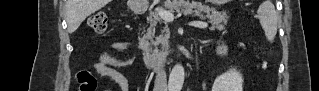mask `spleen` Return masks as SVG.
I'll use <instances>...</instances> for the list:
<instances>
[{
    "mask_svg": "<svg viewBox=\"0 0 319 91\" xmlns=\"http://www.w3.org/2000/svg\"><path fill=\"white\" fill-rule=\"evenodd\" d=\"M258 19L268 41L272 42L277 34L278 13L270 0L264 1L257 10Z\"/></svg>",
    "mask_w": 319,
    "mask_h": 91,
    "instance_id": "1",
    "label": "spleen"
}]
</instances>
